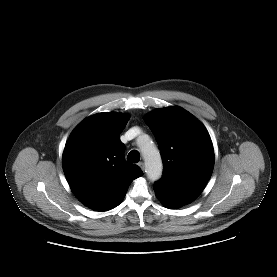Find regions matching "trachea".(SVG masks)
<instances>
[{"instance_id": "1", "label": "trachea", "mask_w": 277, "mask_h": 277, "mask_svg": "<svg viewBox=\"0 0 277 277\" xmlns=\"http://www.w3.org/2000/svg\"><path fill=\"white\" fill-rule=\"evenodd\" d=\"M127 160L131 163H137L140 161V154L137 150H132L128 156H127Z\"/></svg>"}]
</instances>
